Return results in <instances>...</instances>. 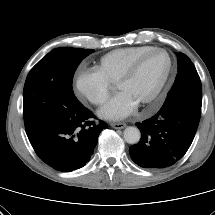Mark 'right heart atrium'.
I'll list each match as a JSON object with an SVG mask.
<instances>
[{"instance_id": "d8ad5b80", "label": "right heart atrium", "mask_w": 215, "mask_h": 215, "mask_svg": "<svg viewBox=\"0 0 215 215\" xmlns=\"http://www.w3.org/2000/svg\"><path fill=\"white\" fill-rule=\"evenodd\" d=\"M74 90L79 99L99 106L108 99L111 83L95 68L84 69L74 77Z\"/></svg>"}]
</instances>
